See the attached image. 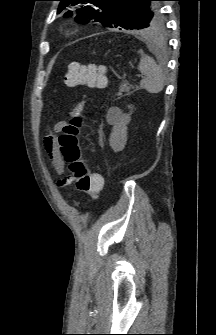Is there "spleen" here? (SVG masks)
<instances>
[{"label":"spleen","instance_id":"obj_1","mask_svg":"<svg viewBox=\"0 0 216 335\" xmlns=\"http://www.w3.org/2000/svg\"><path fill=\"white\" fill-rule=\"evenodd\" d=\"M138 69L144 75L140 82L141 88L151 94H156L163 90L165 73L152 57L142 54Z\"/></svg>","mask_w":216,"mask_h":335}]
</instances>
